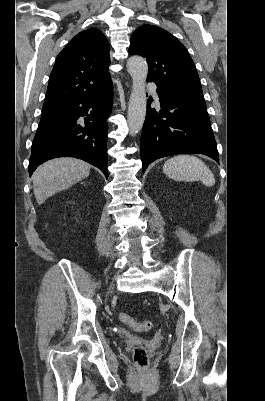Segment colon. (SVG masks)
<instances>
[{
  "label": "colon",
  "instance_id": "5ec220e1",
  "mask_svg": "<svg viewBox=\"0 0 265 401\" xmlns=\"http://www.w3.org/2000/svg\"><path fill=\"white\" fill-rule=\"evenodd\" d=\"M119 319L137 331H148L152 328V323L148 320L136 321L126 313H120ZM133 362L137 369L145 370L149 363L147 350L143 346H136L132 352Z\"/></svg>",
  "mask_w": 265,
  "mask_h": 401
}]
</instances>
